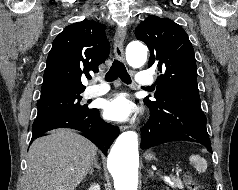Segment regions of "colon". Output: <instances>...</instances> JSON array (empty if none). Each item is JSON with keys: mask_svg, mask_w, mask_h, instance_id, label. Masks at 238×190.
Listing matches in <instances>:
<instances>
[{"mask_svg": "<svg viewBox=\"0 0 238 190\" xmlns=\"http://www.w3.org/2000/svg\"><path fill=\"white\" fill-rule=\"evenodd\" d=\"M185 184L187 185L189 190H205V188L196 182L190 175L185 174L183 177Z\"/></svg>", "mask_w": 238, "mask_h": 190, "instance_id": "obj_1", "label": "colon"}]
</instances>
